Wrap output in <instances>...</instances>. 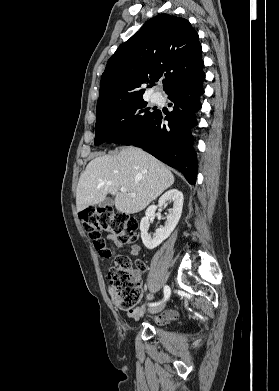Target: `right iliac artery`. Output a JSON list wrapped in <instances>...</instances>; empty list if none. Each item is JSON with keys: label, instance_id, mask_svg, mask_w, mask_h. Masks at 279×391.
Returning <instances> with one entry per match:
<instances>
[{"label": "right iliac artery", "instance_id": "right-iliac-artery-1", "mask_svg": "<svg viewBox=\"0 0 279 391\" xmlns=\"http://www.w3.org/2000/svg\"><path fill=\"white\" fill-rule=\"evenodd\" d=\"M170 293H171V290H170L169 286H165L164 287V301L167 300L170 297ZM160 303L161 302L151 303L150 306H156V305H158Z\"/></svg>", "mask_w": 279, "mask_h": 391}]
</instances>
